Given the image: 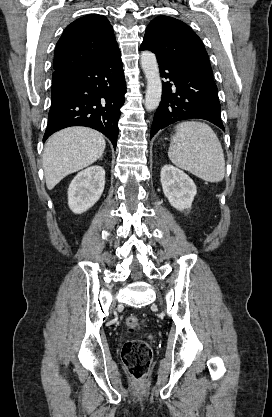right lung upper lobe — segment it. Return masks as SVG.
Returning <instances> with one entry per match:
<instances>
[{"instance_id": "cb5924a9", "label": "right lung upper lobe", "mask_w": 272, "mask_h": 417, "mask_svg": "<svg viewBox=\"0 0 272 417\" xmlns=\"http://www.w3.org/2000/svg\"><path fill=\"white\" fill-rule=\"evenodd\" d=\"M117 46L107 18L98 14L81 17L66 27L57 42L54 70L95 64Z\"/></svg>"}]
</instances>
